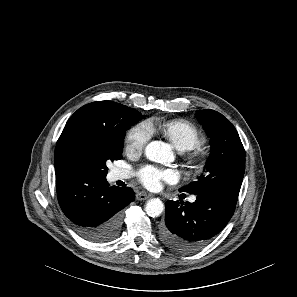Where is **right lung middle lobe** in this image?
<instances>
[{
    "instance_id": "dd1d6c3e",
    "label": "right lung middle lobe",
    "mask_w": 297,
    "mask_h": 297,
    "mask_svg": "<svg viewBox=\"0 0 297 297\" xmlns=\"http://www.w3.org/2000/svg\"><path fill=\"white\" fill-rule=\"evenodd\" d=\"M145 115L133 108L122 106L121 118L124 127L121 134L114 139L84 137L73 146L71 158L75 172H85L98 177H106L107 162L122 158L125 131L143 119Z\"/></svg>"
}]
</instances>
